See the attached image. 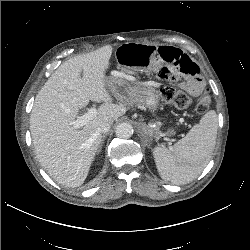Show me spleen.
Returning <instances> with one entry per match:
<instances>
[{"label": "spleen", "mask_w": 250, "mask_h": 250, "mask_svg": "<svg viewBox=\"0 0 250 250\" xmlns=\"http://www.w3.org/2000/svg\"><path fill=\"white\" fill-rule=\"evenodd\" d=\"M217 128V114L211 110L174 146L155 147L153 156L161 178L176 185L187 184L195 179L211 158Z\"/></svg>", "instance_id": "1"}]
</instances>
